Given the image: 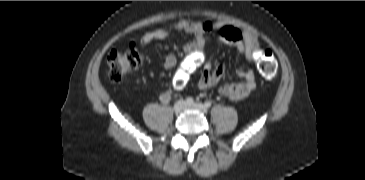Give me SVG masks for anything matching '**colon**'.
Wrapping results in <instances>:
<instances>
[{
    "label": "colon",
    "instance_id": "5ec220e1",
    "mask_svg": "<svg viewBox=\"0 0 365 180\" xmlns=\"http://www.w3.org/2000/svg\"><path fill=\"white\" fill-rule=\"evenodd\" d=\"M257 67L265 79L272 80L277 75V62L271 51L265 50L255 56ZM141 64V57L135 43L127 49H116L108 55V76L118 83L128 79Z\"/></svg>",
    "mask_w": 365,
    "mask_h": 180
}]
</instances>
